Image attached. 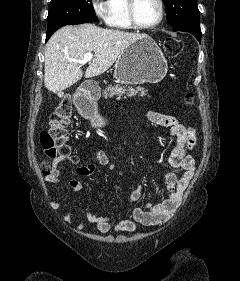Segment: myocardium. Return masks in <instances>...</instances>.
<instances>
[{
  "mask_svg": "<svg viewBox=\"0 0 240 281\" xmlns=\"http://www.w3.org/2000/svg\"><path fill=\"white\" fill-rule=\"evenodd\" d=\"M128 1V17L131 25L136 28V29H141V30H149L158 27L165 15V3L164 0H157L158 5H159V17L157 21H155L153 24L150 25H143L141 24L136 15V5H137V0H127Z\"/></svg>",
  "mask_w": 240,
  "mask_h": 281,
  "instance_id": "obj_1",
  "label": "myocardium"
}]
</instances>
